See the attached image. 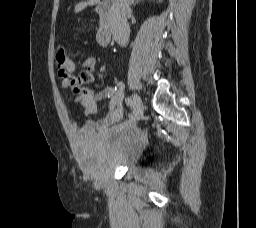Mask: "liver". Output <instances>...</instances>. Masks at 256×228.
Segmentation results:
<instances>
[{
	"label": "liver",
	"instance_id": "1",
	"mask_svg": "<svg viewBox=\"0 0 256 228\" xmlns=\"http://www.w3.org/2000/svg\"><path fill=\"white\" fill-rule=\"evenodd\" d=\"M100 0H88L87 2H80L75 5V12H80L85 9L87 6H93L97 4Z\"/></svg>",
	"mask_w": 256,
	"mask_h": 228
}]
</instances>
